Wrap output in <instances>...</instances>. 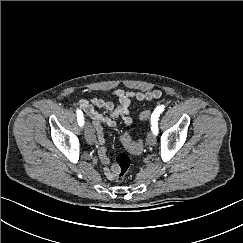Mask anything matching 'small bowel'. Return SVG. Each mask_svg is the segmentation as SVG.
I'll use <instances>...</instances> for the list:
<instances>
[{
	"label": "small bowel",
	"instance_id": "obj_1",
	"mask_svg": "<svg viewBox=\"0 0 243 243\" xmlns=\"http://www.w3.org/2000/svg\"><path fill=\"white\" fill-rule=\"evenodd\" d=\"M113 94L118 99V104H114L110 100L97 97L81 99L79 101V106L84 111L85 115L92 119L98 137V156L104 165V174L110 180L114 179L115 172L113 165H110V159L107 156V150L104 146L105 137L103 126L115 127L117 125V118H121L125 124H131L133 122V118L130 115L129 106L132 100H136L138 102L152 101L160 98L162 95L159 90L137 92L125 91L122 89L115 90ZM95 108L106 109L109 112V116L98 113Z\"/></svg>",
	"mask_w": 243,
	"mask_h": 243
}]
</instances>
